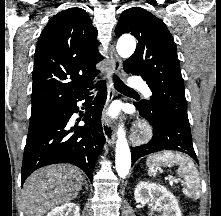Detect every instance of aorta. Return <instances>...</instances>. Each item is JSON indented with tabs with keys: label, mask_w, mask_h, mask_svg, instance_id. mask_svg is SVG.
<instances>
[{
	"label": "aorta",
	"mask_w": 221,
	"mask_h": 216,
	"mask_svg": "<svg viewBox=\"0 0 221 216\" xmlns=\"http://www.w3.org/2000/svg\"><path fill=\"white\" fill-rule=\"evenodd\" d=\"M136 41L131 35H123L119 38L116 49L122 58H129L135 51ZM118 139L116 143V171L121 178H125L131 167V153L127 143L126 134L121 125L117 132Z\"/></svg>",
	"instance_id": "1"
}]
</instances>
